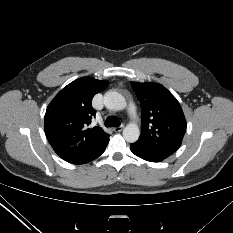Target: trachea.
I'll use <instances>...</instances> for the list:
<instances>
[{"label": "trachea", "instance_id": "3493384b", "mask_svg": "<svg viewBox=\"0 0 233 233\" xmlns=\"http://www.w3.org/2000/svg\"><path fill=\"white\" fill-rule=\"evenodd\" d=\"M120 124H121L120 121L114 116H109L105 121L106 127H119Z\"/></svg>", "mask_w": 233, "mask_h": 233}]
</instances>
